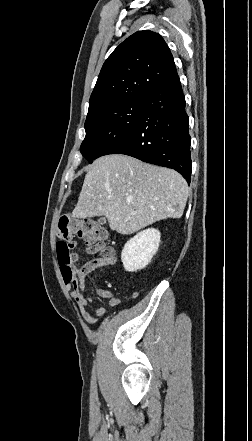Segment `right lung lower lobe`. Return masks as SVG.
Listing matches in <instances>:
<instances>
[{
	"label": "right lung lower lobe",
	"instance_id": "98d812e1",
	"mask_svg": "<svg viewBox=\"0 0 252 441\" xmlns=\"http://www.w3.org/2000/svg\"><path fill=\"white\" fill-rule=\"evenodd\" d=\"M144 110L133 129L105 155L125 154L172 168L191 179V138L185 97L178 74L142 98Z\"/></svg>",
	"mask_w": 252,
	"mask_h": 441
}]
</instances>
